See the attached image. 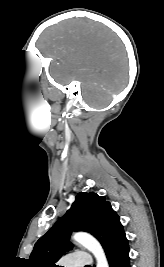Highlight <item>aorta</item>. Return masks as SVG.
<instances>
[{
    "label": "aorta",
    "instance_id": "obj_1",
    "mask_svg": "<svg viewBox=\"0 0 164 267\" xmlns=\"http://www.w3.org/2000/svg\"><path fill=\"white\" fill-rule=\"evenodd\" d=\"M72 239L81 244L94 255V257L96 258L97 267H109L108 261L100 243L93 236L80 232L75 233Z\"/></svg>",
    "mask_w": 164,
    "mask_h": 267
}]
</instances>
